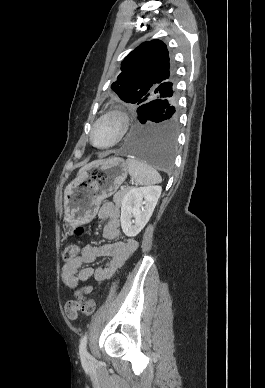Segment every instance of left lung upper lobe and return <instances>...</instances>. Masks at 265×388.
I'll return each instance as SVG.
<instances>
[{"mask_svg":"<svg viewBox=\"0 0 265 388\" xmlns=\"http://www.w3.org/2000/svg\"><path fill=\"white\" fill-rule=\"evenodd\" d=\"M111 88L123 101L134 104L132 108L166 99V93L176 89L166 45L156 39L131 51L121 63V73Z\"/></svg>","mask_w":265,"mask_h":388,"instance_id":"left-lung-upper-lobe-1","label":"left lung upper lobe"}]
</instances>
